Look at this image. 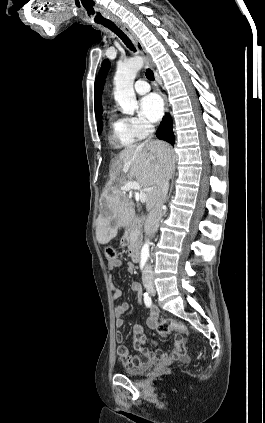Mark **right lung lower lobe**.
<instances>
[{"label": "right lung lower lobe", "instance_id": "obj_1", "mask_svg": "<svg viewBox=\"0 0 265 423\" xmlns=\"http://www.w3.org/2000/svg\"><path fill=\"white\" fill-rule=\"evenodd\" d=\"M172 129H173L172 119L169 116V114H166V116L161 121L160 126L158 127L156 136L158 137V139L164 140L170 143L171 145H174L175 137H174Z\"/></svg>", "mask_w": 265, "mask_h": 423}]
</instances>
